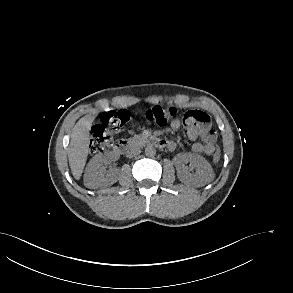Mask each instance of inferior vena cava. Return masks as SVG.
Listing matches in <instances>:
<instances>
[{"label": "inferior vena cava", "mask_w": 293, "mask_h": 293, "mask_svg": "<svg viewBox=\"0 0 293 293\" xmlns=\"http://www.w3.org/2000/svg\"><path fill=\"white\" fill-rule=\"evenodd\" d=\"M141 153V149L140 148H138V147H133V148H131L128 152H127V157L128 158H132V157H134V156H137V155H139Z\"/></svg>", "instance_id": "602c4592"}]
</instances>
